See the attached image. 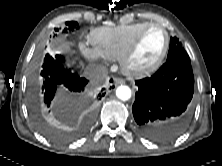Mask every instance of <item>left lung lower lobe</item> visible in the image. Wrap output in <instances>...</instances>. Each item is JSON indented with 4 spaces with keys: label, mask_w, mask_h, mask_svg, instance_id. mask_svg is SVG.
I'll use <instances>...</instances> for the list:
<instances>
[{
    "label": "left lung lower lobe",
    "mask_w": 222,
    "mask_h": 166,
    "mask_svg": "<svg viewBox=\"0 0 222 166\" xmlns=\"http://www.w3.org/2000/svg\"><path fill=\"white\" fill-rule=\"evenodd\" d=\"M135 83L138 91L132 111L139 132L156 142L170 141L184 132L194 93L190 61H166L154 75Z\"/></svg>",
    "instance_id": "obj_1"
}]
</instances>
